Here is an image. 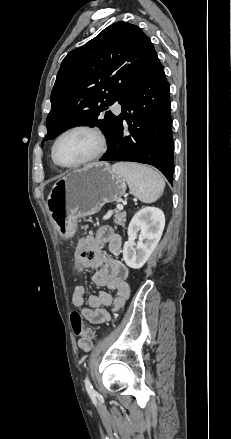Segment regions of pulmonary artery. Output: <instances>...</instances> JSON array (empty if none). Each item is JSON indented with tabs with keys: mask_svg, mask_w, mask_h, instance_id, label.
Returning a JSON list of instances; mask_svg holds the SVG:
<instances>
[{
	"mask_svg": "<svg viewBox=\"0 0 231 439\" xmlns=\"http://www.w3.org/2000/svg\"><path fill=\"white\" fill-rule=\"evenodd\" d=\"M112 109H113V112H114L115 114H119V113L121 112V106H120L119 103H115V104L112 106Z\"/></svg>",
	"mask_w": 231,
	"mask_h": 439,
	"instance_id": "e3ab8cb5",
	"label": "pulmonary artery"
}]
</instances>
